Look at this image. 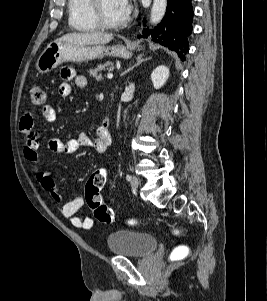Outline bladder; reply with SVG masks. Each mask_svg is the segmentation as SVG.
Listing matches in <instances>:
<instances>
[{
    "instance_id": "31cf9c89",
    "label": "bladder",
    "mask_w": 267,
    "mask_h": 301,
    "mask_svg": "<svg viewBox=\"0 0 267 301\" xmlns=\"http://www.w3.org/2000/svg\"><path fill=\"white\" fill-rule=\"evenodd\" d=\"M107 247L114 255L142 258L157 249L158 239L148 233L119 230L108 235Z\"/></svg>"
}]
</instances>
